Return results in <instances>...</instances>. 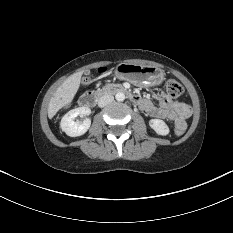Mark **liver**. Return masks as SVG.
Returning a JSON list of instances; mask_svg holds the SVG:
<instances>
[{"label": "liver", "mask_w": 233, "mask_h": 233, "mask_svg": "<svg viewBox=\"0 0 233 233\" xmlns=\"http://www.w3.org/2000/svg\"><path fill=\"white\" fill-rule=\"evenodd\" d=\"M81 76L82 72L74 73L57 88L49 101L47 109L50 119H52L61 108L68 105L73 100L79 89Z\"/></svg>", "instance_id": "1"}]
</instances>
